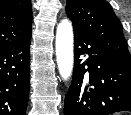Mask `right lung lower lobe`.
<instances>
[{"label":"right lung lower lobe","mask_w":131,"mask_h":115,"mask_svg":"<svg viewBox=\"0 0 131 115\" xmlns=\"http://www.w3.org/2000/svg\"><path fill=\"white\" fill-rule=\"evenodd\" d=\"M30 42L0 49V115H25L30 86Z\"/></svg>","instance_id":"98d812e1"}]
</instances>
